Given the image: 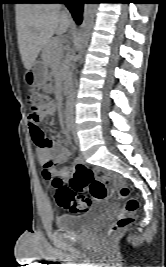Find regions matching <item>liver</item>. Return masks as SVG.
Returning <instances> with one entry per match:
<instances>
[{"instance_id":"liver-1","label":"liver","mask_w":166,"mask_h":267,"mask_svg":"<svg viewBox=\"0 0 166 267\" xmlns=\"http://www.w3.org/2000/svg\"><path fill=\"white\" fill-rule=\"evenodd\" d=\"M15 11L19 52L29 69L52 36L68 30L71 19L57 4L18 3Z\"/></svg>"}]
</instances>
